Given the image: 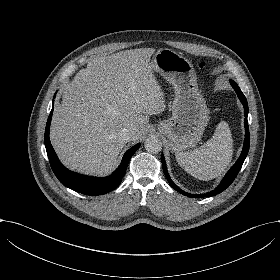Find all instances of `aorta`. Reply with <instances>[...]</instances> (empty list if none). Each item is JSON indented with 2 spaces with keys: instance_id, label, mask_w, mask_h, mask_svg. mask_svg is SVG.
<instances>
[{
  "instance_id": "1",
  "label": "aorta",
  "mask_w": 280,
  "mask_h": 280,
  "mask_svg": "<svg viewBox=\"0 0 280 280\" xmlns=\"http://www.w3.org/2000/svg\"><path fill=\"white\" fill-rule=\"evenodd\" d=\"M144 147L147 152L156 154L162 149V142L158 137L151 136L145 140Z\"/></svg>"
}]
</instances>
